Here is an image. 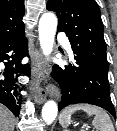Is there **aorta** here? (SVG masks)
Wrapping results in <instances>:
<instances>
[{
  "instance_id": "762f6f07",
  "label": "aorta",
  "mask_w": 117,
  "mask_h": 131,
  "mask_svg": "<svg viewBox=\"0 0 117 131\" xmlns=\"http://www.w3.org/2000/svg\"><path fill=\"white\" fill-rule=\"evenodd\" d=\"M39 41L45 56H49L53 50L54 38L57 30V17L52 12L44 13L39 20ZM58 113L57 103L47 101L42 108V118L47 124H51Z\"/></svg>"
}]
</instances>
